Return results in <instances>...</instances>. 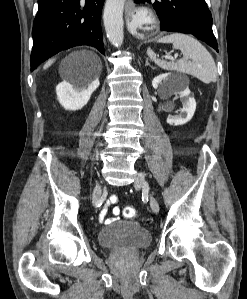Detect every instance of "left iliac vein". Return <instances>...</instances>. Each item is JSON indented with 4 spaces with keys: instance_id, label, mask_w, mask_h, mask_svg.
Wrapping results in <instances>:
<instances>
[{
    "instance_id": "left-iliac-vein-1",
    "label": "left iliac vein",
    "mask_w": 247,
    "mask_h": 299,
    "mask_svg": "<svg viewBox=\"0 0 247 299\" xmlns=\"http://www.w3.org/2000/svg\"><path fill=\"white\" fill-rule=\"evenodd\" d=\"M134 185L138 188L144 189L147 192L149 191V185L146 181L145 175L141 172H138L136 174ZM150 206L154 213L159 212L160 207H159L158 201L152 195H150Z\"/></svg>"
}]
</instances>
